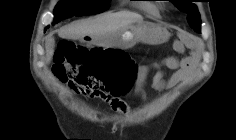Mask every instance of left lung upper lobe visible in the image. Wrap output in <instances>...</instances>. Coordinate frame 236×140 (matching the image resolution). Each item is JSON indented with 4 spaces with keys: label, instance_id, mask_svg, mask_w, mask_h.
I'll use <instances>...</instances> for the list:
<instances>
[{
    "label": "left lung upper lobe",
    "instance_id": "obj_1",
    "mask_svg": "<svg viewBox=\"0 0 236 140\" xmlns=\"http://www.w3.org/2000/svg\"><path fill=\"white\" fill-rule=\"evenodd\" d=\"M171 2H173L180 11L188 14L187 20L189 25L194 29V31L200 33L201 19L197 6L190 0H171Z\"/></svg>",
    "mask_w": 236,
    "mask_h": 140
}]
</instances>
